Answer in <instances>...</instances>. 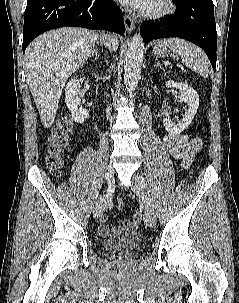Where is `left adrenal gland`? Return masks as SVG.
Listing matches in <instances>:
<instances>
[{
    "instance_id": "1",
    "label": "left adrenal gland",
    "mask_w": 239,
    "mask_h": 303,
    "mask_svg": "<svg viewBox=\"0 0 239 303\" xmlns=\"http://www.w3.org/2000/svg\"><path fill=\"white\" fill-rule=\"evenodd\" d=\"M154 67H160L161 68V66L158 62L154 65Z\"/></svg>"
}]
</instances>
